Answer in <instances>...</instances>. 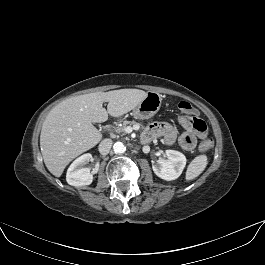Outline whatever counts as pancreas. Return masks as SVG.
Masks as SVG:
<instances>
[{
    "instance_id": "obj_1",
    "label": "pancreas",
    "mask_w": 265,
    "mask_h": 265,
    "mask_svg": "<svg viewBox=\"0 0 265 265\" xmlns=\"http://www.w3.org/2000/svg\"><path fill=\"white\" fill-rule=\"evenodd\" d=\"M134 123H135L134 121H123V124L118 126V127H116L115 131L118 132V133L124 132L125 128L127 127L128 124L132 125Z\"/></svg>"
}]
</instances>
